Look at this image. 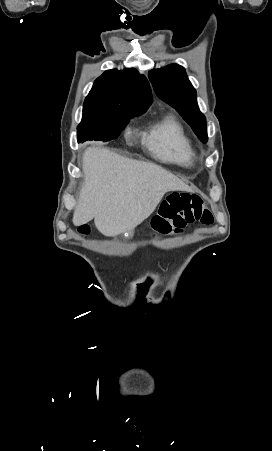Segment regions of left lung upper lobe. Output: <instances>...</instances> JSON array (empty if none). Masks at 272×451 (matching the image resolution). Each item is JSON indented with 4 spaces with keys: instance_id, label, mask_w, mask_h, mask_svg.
<instances>
[{
    "instance_id": "5c2ea615",
    "label": "left lung upper lobe",
    "mask_w": 272,
    "mask_h": 451,
    "mask_svg": "<svg viewBox=\"0 0 272 451\" xmlns=\"http://www.w3.org/2000/svg\"><path fill=\"white\" fill-rule=\"evenodd\" d=\"M157 96L174 107L192 127L196 135L207 142L206 119L196 102V90L188 80L185 69L171 64L149 71Z\"/></svg>"
}]
</instances>
